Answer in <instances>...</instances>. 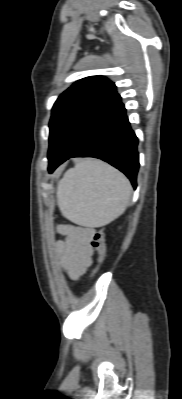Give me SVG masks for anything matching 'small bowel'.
I'll return each instance as SVG.
<instances>
[{"label": "small bowel", "mask_w": 182, "mask_h": 399, "mask_svg": "<svg viewBox=\"0 0 182 399\" xmlns=\"http://www.w3.org/2000/svg\"><path fill=\"white\" fill-rule=\"evenodd\" d=\"M57 231L65 237L55 245L57 264L71 280H77L92 263L95 228L61 224Z\"/></svg>", "instance_id": "c3829d8e"}]
</instances>
